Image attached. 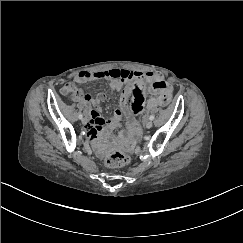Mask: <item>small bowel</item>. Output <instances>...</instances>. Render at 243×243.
Wrapping results in <instances>:
<instances>
[{
	"label": "small bowel",
	"instance_id": "obj_1",
	"mask_svg": "<svg viewBox=\"0 0 243 243\" xmlns=\"http://www.w3.org/2000/svg\"><path fill=\"white\" fill-rule=\"evenodd\" d=\"M94 79H110L111 87L118 90L125 83L128 86V92L131 96V111L134 114L141 113L144 109L154 110L159 106H165V99L172 96V87L165 82L159 72H141L127 69L112 68L109 70L89 72L82 71L75 75L74 81L79 84L87 83ZM73 85L66 83L61 88L63 94H69ZM147 94L153 96L146 99ZM76 98L81 101L92 103L96 106L89 113L87 120L88 126L86 133L88 137L97 143V138L107 120L100 115L99 98H93L91 95L79 93ZM121 117V112L116 111L110 121H117Z\"/></svg>",
	"mask_w": 243,
	"mask_h": 243
}]
</instances>
